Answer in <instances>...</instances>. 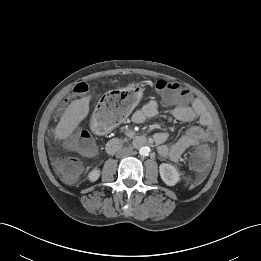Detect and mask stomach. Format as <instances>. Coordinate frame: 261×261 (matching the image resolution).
<instances>
[{"label": "stomach", "mask_w": 261, "mask_h": 261, "mask_svg": "<svg viewBox=\"0 0 261 261\" xmlns=\"http://www.w3.org/2000/svg\"><path fill=\"white\" fill-rule=\"evenodd\" d=\"M126 100L128 101V111L130 113L140 102L143 96V88L139 84H130L124 90ZM117 124L111 122H105L100 115L96 112L92 116L91 129L98 135H103L111 131Z\"/></svg>", "instance_id": "stomach-1"}]
</instances>
